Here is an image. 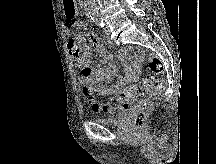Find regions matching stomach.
<instances>
[{
    "instance_id": "stomach-1",
    "label": "stomach",
    "mask_w": 216,
    "mask_h": 164,
    "mask_svg": "<svg viewBox=\"0 0 216 164\" xmlns=\"http://www.w3.org/2000/svg\"><path fill=\"white\" fill-rule=\"evenodd\" d=\"M62 3H65V20H78L76 0H62Z\"/></svg>"
}]
</instances>
